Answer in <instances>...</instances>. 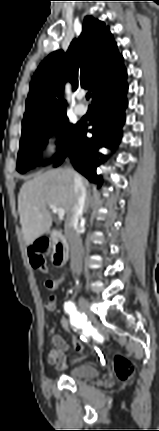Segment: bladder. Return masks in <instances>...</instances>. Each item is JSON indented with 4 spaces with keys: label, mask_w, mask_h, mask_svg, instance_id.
Masks as SVG:
<instances>
[{
    "label": "bladder",
    "mask_w": 159,
    "mask_h": 431,
    "mask_svg": "<svg viewBox=\"0 0 159 431\" xmlns=\"http://www.w3.org/2000/svg\"><path fill=\"white\" fill-rule=\"evenodd\" d=\"M97 375V369L88 363L79 364L68 372V376L74 380L90 379Z\"/></svg>",
    "instance_id": "bladder-1"
}]
</instances>
